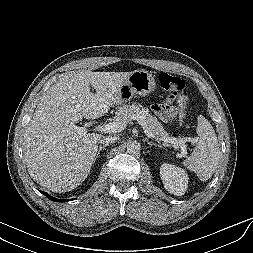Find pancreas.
<instances>
[{"label": "pancreas", "mask_w": 253, "mask_h": 253, "mask_svg": "<svg viewBox=\"0 0 253 253\" xmlns=\"http://www.w3.org/2000/svg\"><path fill=\"white\" fill-rule=\"evenodd\" d=\"M115 119L118 122L129 123L133 119V116H141L146 123L147 127L150 129L153 135L156 136L157 140L161 138H169V134L164 130L161 123L157 120L155 116L149 113L147 108H144L141 104H123L118 107L116 111ZM161 141V140H160Z\"/></svg>", "instance_id": "pancreas-1"}]
</instances>
